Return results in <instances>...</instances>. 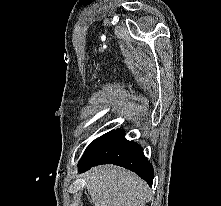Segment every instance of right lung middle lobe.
<instances>
[{"instance_id": "1", "label": "right lung middle lobe", "mask_w": 221, "mask_h": 206, "mask_svg": "<svg viewBox=\"0 0 221 206\" xmlns=\"http://www.w3.org/2000/svg\"><path fill=\"white\" fill-rule=\"evenodd\" d=\"M94 141H95V140H94ZM94 141H93V142H94ZM93 142L88 146V148L93 144ZM88 148H87V149H88Z\"/></svg>"}]
</instances>
